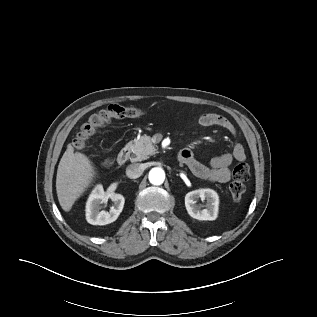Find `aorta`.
<instances>
[{
	"instance_id": "762f6f07",
	"label": "aorta",
	"mask_w": 317,
	"mask_h": 317,
	"mask_svg": "<svg viewBox=\"0 0 317 317\" xmlns=\"http://www.w3.org/2000/svg\"><path fill=\"white\" fill-rule=\"evenodd\" d=\"M165 180V172L160 167H154L149 172V181L153 185H161Z\"/></svg>"
}]
</instances>
